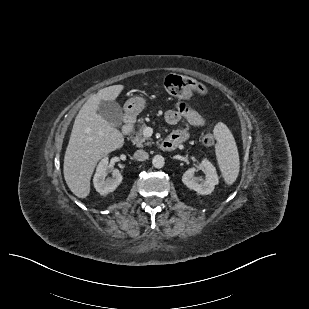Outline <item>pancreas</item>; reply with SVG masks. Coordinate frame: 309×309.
Here are the masks:
<instances>
[{
	"label": "pancreas",
	"instance_id": "obj_1",
	"mask_svg": "<svg viewBox=\"0 0 309 309\" xmlns=\"http://www.w3.org/2000/svg\"><path fill=\"white\" fill-rule=\"evenodd\" d=\"M145 126L146 124L140 120L139 125L137 126V131H133L132 133L131 141L138 147H143L150 144V142H147L148 138L143 135V129Z\"/></svg>",
	"mask_w": 309,
	"mask_h": 309
}]
</instances>
